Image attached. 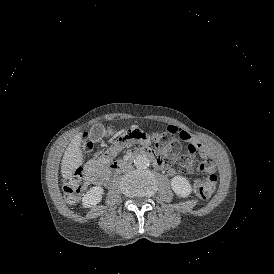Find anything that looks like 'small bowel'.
Wrapping results in <instances>:
<instances>
[{
  "label": "small bowel",
  "instance_id": "c3829d8e",
  "mask_svg": "<svg viewBox=\"0 0 274 274\" xmlns=\"http://www.w3.org/2000/svg\"><path fill=\"white\" fill-rule=\"evenodd\" d=\"M169 131L178 132L185 141H189L190 144L187 147V150L190 152L186 157H183L179 164L186 169L187 173L194 172L198 174H202L203 176L208 175L209 181L212 184H216L219 181L220 175L217 170L214 168V165L210 161H206L203 165H199L198 160L205 161L208 158V155L203 152V145L199 140L191 136L186 132L183 128H178L176 125L169 126ZM137 142L147 146L149 144V140L145 137H141L137 139ZM125 143H117L108 149L105 153L100 155H96L93 158L89 159L84 166V183L83 190L86 192L90 186H101L106 183L109 178L110 169L113 166V163L110 161L125 147ZM194 143V145H193ZM197 147V150H196ZM196 150L195 156L192 154ZM172 173L175 172L174 169H170Z\"/></svg>",
  "mask_w": 274,
  "mask_h": 274
}]
</instances>
